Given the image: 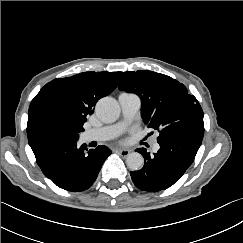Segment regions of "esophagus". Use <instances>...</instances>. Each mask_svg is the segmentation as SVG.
Wrapping results in <instances>:
<instances>
[{
	"label": "esophagus",
	"instance_id": "1",
	"mask_svg": "<svg viewBox=\"0 0 243 243\" xmlns=\"http://www.w3.org/2000/svg\"><path fill=\"white\" fill-rule=\"evenodd\" d=\"M115 151L123 157H126L130 154V150L128 149H116Z\"/></svg>",
	"mask_w": 243,
	"mask_h": 243
}]
</instances>
